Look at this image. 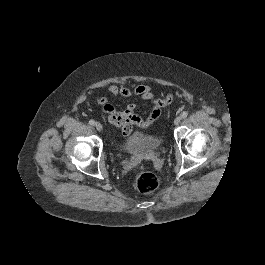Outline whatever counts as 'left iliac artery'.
Masks as SVG:
<instances>
[{
    "label": "left iliac artery",
    "mask_w": 265,
    "mask_h": 265,
    "mask_svg": "<svg viewBox=\"0 0 265 265\" xmlns=\"http://www.w3.org/2000/svg\"><path fill=\"white\" fill-rule=\"evenodd\" d=\"M188 116V113L187 112H183L182 114H181V117L182 118H186Z\"/></svg>",
    "instance_id": "obj_1"
}]
</instances>
